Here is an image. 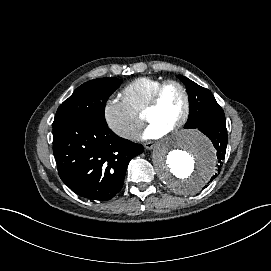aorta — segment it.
Here are the masks:
<instances>
[{
  "mask_svg": "<svg viewBox=\"0 0 271 271\" xmlns=\"http://www.w3.org/2000/svg\"><path fill=\"white\" fill-rule=\"evenodd\" d=\"M159 178L179 195L198 193L216 169L210 141L195 130H181L159 142L152 153Z\"/></svg>",
  "mask_w": 271,
  "mask_h": 271,
  "instance_id": "1",
  "label": "aorta"
}]
</instances>
